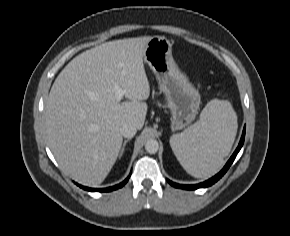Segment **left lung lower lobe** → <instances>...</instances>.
I'll list each match as a JSON object with an SVG mask.
<instances>
[{"instance_id": "left-lung-lower-lobe-1", "label": "left lung lower lobe", "mask_w": 290, "mask_h": 236, "mask_svg": "<svg viewBox=\"0 0 290 236\" xmlns=\"http://www.w3.org/2000/svg\"><path fill=\"white\" fill-rule=\"evenodd\" d=\"M244 139H245V127L243 129V133H242L239 145L236 148L235 152L233 153L231 158L228 160V162L226 163L224 168L218 174H216L214 177L210 178L209 180H207L205 182H202L200 184H195V185H180V184H177V183H174V182L168 180L169 184H171L172 186H174L176 188L187 189V190H194L197 188H204V187H209V186L213 185L227 172V170L229 169L231 164L234 162L238 152L240 151V149L243 146Z\"/></svg>"}]
</instances>
